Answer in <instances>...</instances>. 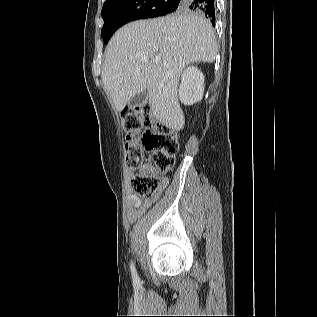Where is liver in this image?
<instances>
[{"instance_id": "obj_1", "label": "liver", "mask_w": 317, "mask_h": 317, "mask_svg": "<svg viewBox=\"0 0 317 317\" xmlns=\"http://www.w3.org/2000/svg\"><path fill=\"white\" fill-rule=\"evenodd\" d=\"M216 54L212 25L199 13L134 21L109 41L101 78L117 111L147 91L154 117L179 131L185 124L177 96L180 75L191 63H212Z\"/></svg>"}]
</instances>
